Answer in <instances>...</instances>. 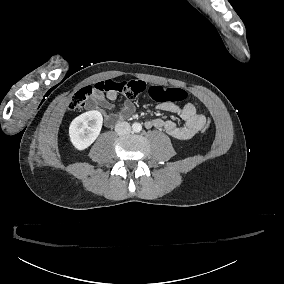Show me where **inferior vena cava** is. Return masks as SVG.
I'll list each match as a JSON object with an SVG mask.
<instances>
[{
  "mask_svg": "<svg viewBox=\"0 0 284 284\" xmlns=\"http://www.w3.org/2000/svg\"><path fill=\"white\" fill-rule=\"evenodd\" d=\"M115 131L119 135L129 134L131 132V126L128 122H119L115 125Z\"/></svg>",
  "mask_w": 284,
  "mask_h": 284,
  "instance_id": "inferior-vena-cava-1",
  "label": "inferior vena cava"
}]
</instances>
